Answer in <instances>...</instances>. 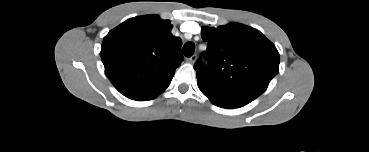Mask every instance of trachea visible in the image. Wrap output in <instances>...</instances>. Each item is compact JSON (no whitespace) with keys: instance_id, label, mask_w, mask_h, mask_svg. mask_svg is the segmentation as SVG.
<instances>
[{"instance_id":"3493384b","label":"trachea","mask_w":369,"mask_h":152,"mask_svg":"<svg viewBox=\"0 0 369 152\" xmlns=\"http://www.w3.org/2000/svg\"><path fill=\"white\" fill-rule=\"evenodd\" d=\"M183 54L186 56V57H191L195 51V45L193 42H187L186 44H184L183 46Z\"/></svg>"}]
</instances>
